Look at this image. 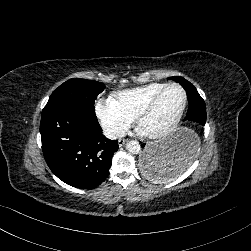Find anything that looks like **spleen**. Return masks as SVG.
<instances>
[{
    "label": "spleen",
    "instance_id": "obj_1",
    "mask_svg": "<svg viewBox=\"0 0 251 251\" xmlns=\"http://www.w3.org/2000/svg\"><path fill=\"white\" fill-rule=\"evenodd\" d=\"M200 145H201L200 138H198L195 141V146H194V149L192 150V152L187 153L186 155L181 157L182 167L179 168L178 170L174 169V168L173 169H166V170H155V171H150L148 173V175L156 178V181H159V182H165L167 180H170L172 178H176V177L180 176L186 170V168L192 163L193 155L199 151Z\"/></svg>",
    "mask_w": 251,
    "mask_h": 251
}]
</instances>
